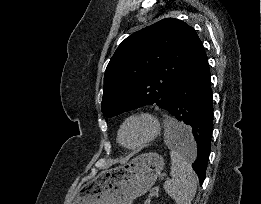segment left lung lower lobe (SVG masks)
<instances>
[{
    "mask_svg": "<svg viewBox=\"0 0 261 204\" xmlns=\"http://www.w3.org/2000/svg\"><path fill=\"white\" fill-rule=\"evenodd\" d=\"M166 110L188 127V133L175 132V137L194 158L192 167L202 185L213 131V99L208 59L199 38Z\"/></svg>",
    "mask_w": 261,
    "mask_h": 204,
    "instance_id": "1",
    "label": "left lung lower lobe"
}]
</instances>
